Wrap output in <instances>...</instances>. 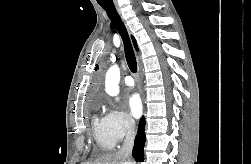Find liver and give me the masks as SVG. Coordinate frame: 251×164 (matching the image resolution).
I'll return each instance as SVG.
<instances>
[{
  "label": "liver",
  "mask_w": 251,
  "mask_h": 164,
  "mask_svg": "<svg viewBox=\"0 0 251 164\" xmlns=\"http://www.w3.org/2000/svg\"><path fill=\"white\" fill-rule=\"evenodd\" d=\"M85 164H134L126 161L119 153H107L99 156L94 162Z\"/></svg>",
  "instance_id": "6515ba94"
}]
</instances>
